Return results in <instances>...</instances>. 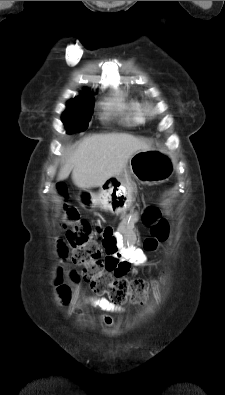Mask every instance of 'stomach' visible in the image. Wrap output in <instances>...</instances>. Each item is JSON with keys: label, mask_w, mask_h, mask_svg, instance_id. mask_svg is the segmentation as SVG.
Returning <instances> with one entry per match:
<instances>
[{"label": "stomach", "mask_w": 225, "mask_h": 395, "mask_svg": "<svg viewBox=\"0 0 225 395\" xmlns=\"http://www.w3.org/2000/svg\"><path fill=\"white\" fill-rule=\"evenodd\" d=\"M173 171L169 157L158 150H140L129 159L125 172L108 179L100 186L98 195L81 191L79 201L84 206H100L114 214L126 211L132 203L133 179L142 184L161 183Z\"/></svg>", "instance_id": "0dacf381"}]
</instances>
